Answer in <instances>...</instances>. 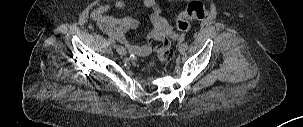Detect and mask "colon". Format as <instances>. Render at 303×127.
<instances>
[{"label":"colon","mask_w":303,"mask_h":127,"mask_svg":"<svg viewBox=\"0 0 303 127\" xmlns=\"http://www.w3.org/2000/svg\"><path fill=\"white\" fill-rule=\"evenodd\" d=\"M206 14L207 9L202 3L192 2L178 14L176 28L180 32H185L189 29L191 20H203ZM171 38H176V36L163 34L149 39V46L156 53L158 61L161 63L168 62L173 56ZM154 67L155 63L150 62L144 66V71L150 72Z\"/></svg>","instance_id":"1"}]
</instances>
